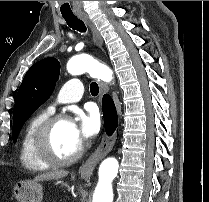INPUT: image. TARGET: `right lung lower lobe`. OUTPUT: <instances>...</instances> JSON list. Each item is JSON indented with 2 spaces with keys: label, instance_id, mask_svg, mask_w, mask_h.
<instances>
[{
  "label": "right lung lower lobe",
  "instance_id": "1",
  "mask_svg": "<svg viewBox=\"0 0 209 202\" xmlns=\"http://www.w3.org/2000/svg\"><path fill=\"white\" fill-rule=\"evenodd\" d=\"M103 116L105 128L108 135H111L118 124V117L112 98L109 95L103 96Z\"/></svg>",
  "mask_w": 209,
  "mask_h": 202
}]
</instances>
